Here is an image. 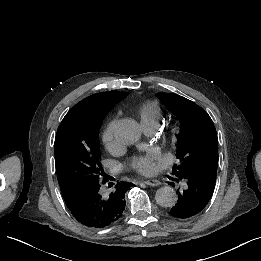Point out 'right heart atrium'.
Listing matches in <instances>:
<instances>
[{
  "instance_id": "obj_1",
  "label": "right heart atrium",
  "mask_w": 261,
  "mask_h": 261,
  "mask_svg": "<svg viewBox=\"0 0 261 261\" xmlns=\"http://www.w3.org/2000/svg\"><path fill=\"white\" fill-rule=\"evenodd\" d=\"M116 122L117 117H113L107 124L102 136V141L105 148L111 153L116 151V139L114 137V127Z\"/></svg>"
}]
</instances>
